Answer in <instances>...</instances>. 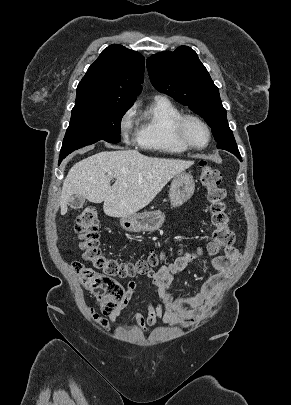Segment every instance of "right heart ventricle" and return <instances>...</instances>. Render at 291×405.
I'll list each match as a JSON object with an SVG mask.
<instances>
[{
    "instance_id": "right-heart-ventricle-1",
    "label": "right heart ventricle",
    "mask_w": 291,
    "mask_h": 405,
    "mask_svg": "<svg viewBox=\"0 0 291 405\" xmlns=\"http://www.w3.org/2000/svg\"><path fill=\"white\" fill-rule=\"evenodd\" d=\"M181 115L170 100L156 97L139 117L137 143L142 148L162 153L186 152L188 149L174 135V124Z\"/></svg>"
}]
</instances>
